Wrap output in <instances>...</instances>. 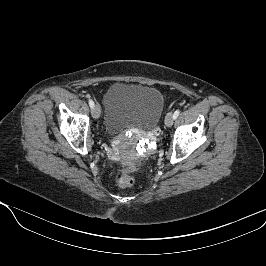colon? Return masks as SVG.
Listing matches in <instances>:
<instances>
[{
  "label": "colon",
  "mask_w": 266,
  "mask_h": 266,
  "mask_svg": "<svg viewBox=\"0 0 266 266\" xmlns=\"http://www.w3.org/2000/svg\"><path fill=\"white\" fill-rule=\"evenodd\" d=\"M131 169H132V166L128 165L123 172L117 174L116 183L118 186H120L122 188H129V187H132L134 185V179L129 174Z\"/></svg>",
  "instance_id": "obj_1"
}]
</instances>
